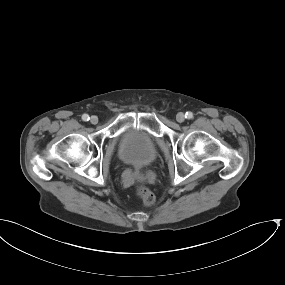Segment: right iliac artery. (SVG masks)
Returning <instances> with one entry per match:
<instances>
[{
  "mask_svg": "<svg viewBox=\"0 0 285 285\" xmlns=\"http://www.w3.org/2000/svg\"><path fill=\"white\" fill-rule=\"evenodd\" d=\"M90 118H89V115L88 114H83L82 115V120L83 121H88Z\"/></svg>",
  "mask_w": 285,
  "mask_h": 285,
  "instance_id": "obj_1",
  "label": "right iliac artery"
}]
</instances>
